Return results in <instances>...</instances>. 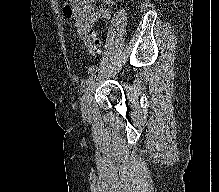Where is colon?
<instances>
[{
    "label": "colon",
    "instance_id": "colon-1",
    "mask_svg": "<svg viewBox=\"0 0 219 192\" xmlns=\"http://www.w3.org/2000/svg\"><path fill=\"white\" fill-rule=\"evenodd\" d=\"M102 46V39L97 32L92 33V40H91V52H96L101 49Z\"/></svg>",
    "mask_w": 219,
    "mask_h": 192
}]
</instances>
